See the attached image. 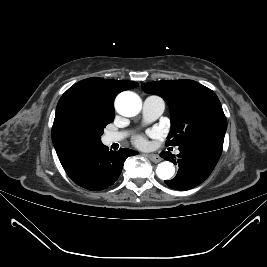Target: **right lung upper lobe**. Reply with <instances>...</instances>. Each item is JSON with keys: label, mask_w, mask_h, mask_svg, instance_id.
Listing matches in <instances>:
<instances>
[{"label": "right lung upper lobe", "mask_w": 267, "mask_h": 267, "mask_svg": "<svg viewBox=\"0 0 267 267\" xmlns=\"http://www.w3.org/2000/svg\"><path fill=\"white\" fill-rule=\"evenodd\" d=\"M138 86V83L132 81H118L103 78H88L82 80L70 87L60 98L56 115L52 127V141L58 157H61L70 150L66 149L56 131L58 116L65 105L76 99H89L100 108L107 111H114L113 103L118 93L124 90L132 89Z\"/></svg>", "instance_id": "cb5924a9"}]
</instances>
